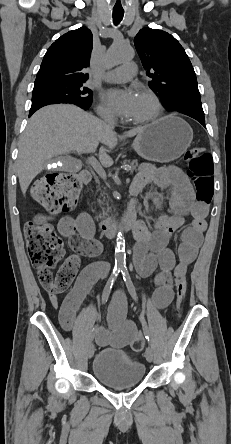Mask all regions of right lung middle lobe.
Masks as SVG:
<instances>
[{"mask_svg": "<svg viewBox=\"0 0 231 444\" xmlns=\"http://www.w3.org/2000/svg\"><path fill=\"white\" fill-rule=\"evenodd\" d=\"M92 92L80 83H51L34 87L32 106L54 103H73L82 107H90Z\"/></svg>", "mask_w": 231, "mask_h": 444, "instance_id": "right-lung-middle-lobe-1", "label": "right lung middle lobe"}]
</instances>
